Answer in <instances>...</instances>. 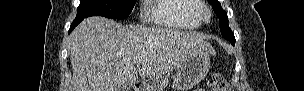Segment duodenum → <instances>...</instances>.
<instances>
[{
    "instance_id": "1",
    "label": "duodenum",
    "mask_w": 304,
    "mask_h": 91,
    "mask_svg": "<svg viewBox=\"0 0 304 91\" xmlns=\"http://www.w3.org/2000/svg\"><path fill=\"white\" fill-rule=\"evenodd\" d=\"M134 91H146V85L142 82H136L133 86Z\"/></svg>"
}]
</instances>
